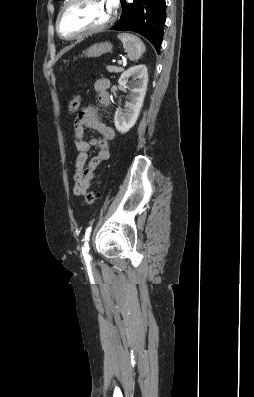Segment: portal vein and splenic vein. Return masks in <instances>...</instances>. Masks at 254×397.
Returning <instances> with one entry per match:
<instances>
[{"label":"portal vein and splenic vein","mask_w":254,"mask_h":397,"mask_svg":"<svg viewBox=\"0 0 254 397\" xmlns=\"http://www.w3.org/2000/svg\"><path fill=\"white\" fill-rule=\"evenodd\" d=\"M118 64H119V65H121V64H122V61H121V60H119V61H118Z\"/></svg>","instance_id":"portal-vein-and-splenic-vein-1"}]
</instances>
